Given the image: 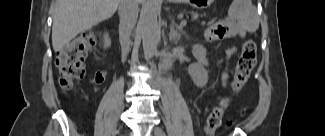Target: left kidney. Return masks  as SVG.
<instances>
[{"mask_svg": "<svg viewBox=\"0 0 325 136\" xmlns=\"http://www.w3.org/2000/svg\"><path fill=\"white\" fill-rule=\"evenodd\" d=\"M192 54L197 62L188 67V73L197 87H205L208 82V71L205 68L208 66L206 48L200 44H195L192 49Z\"/></svg>", "mask_w": 325, "mask_h": 136, "instance_id": "1", "label": "left kidney"}]
</instances>
